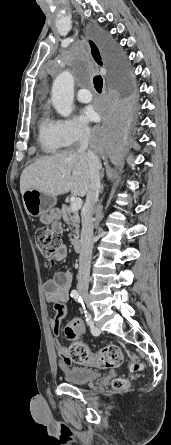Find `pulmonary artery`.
<instances>
[{"label": "pulmonary artery", "mask_w": 171, "mask_h": 445, "mask_svg": "<svg viewBox=\"0 0 171 445\" xmlns=\"http://www.w3.org/2000/svg\"><path fill=\"white\" fill-rule=\"evenodd\" d=\"M77 99L82 103H88L92 100V94L88 89L82 88L77 92Z\"/></svg>", "instance_id": "e3ab8cb5"}]
</instances>
